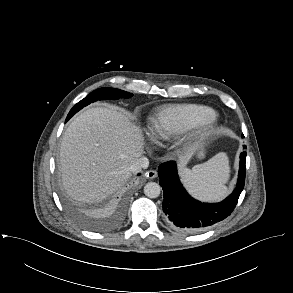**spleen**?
Segmentation results:
<instances>
[{"label": "spleen", "mask_w": 293, "mask_h": 293, "mask_svg": "<svg viewBox=\"0 0 293 293\" xmlns=\"http://www.w3.org/2000/svg\"><path fill=\"white\" fill-rule=\"evenodd\" d=\"M229 161L225 153H218L209 161L183 172L188 190L203 201H217L227 194Z\"/></svg>", "instance_id": "1"}]
</instances>
